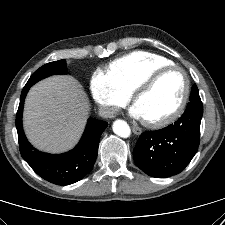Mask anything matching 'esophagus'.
Listing matches in <instances>:
<instances>
[{
	"mask_svg": "<svg viewBox=\"0 0 225 225\" xmlns=\"http://www.w3.org/2000/svg\"><path fill=\"white\" fill-rule=\"evenodd\" d=\"M132 130H133L134 134H136V135H140L142 133L141 128L137 127V126H132Z\"/></svg>",
	"mask_w": 225,
	"mask_h": 225,
	"instance_id": "1",
	"label": "esophagus"
}]
</instances>
